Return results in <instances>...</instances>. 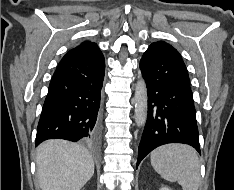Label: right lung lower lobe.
I'll list each match as a JSON object with an SVG mask.
<instances>
[{
  "label": "right lung lower lobe",
  "mask_w": 234,
  "mask_h": 190,
  "mask_svg": "<svg viewBox=\"0 0 234 190\" xmlns=\"http://www.w3.org/2000/svg\"><path fill=\"white\" fill-rule=\"evenodd\" d=\"M105 60L98 46L64 55L51 79L35 145L47 139L94 143L100 131V98Z\"/></svg>",
  "instance_id": "obj_1"
}]
</instances>
